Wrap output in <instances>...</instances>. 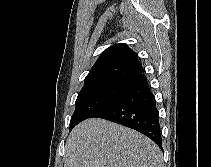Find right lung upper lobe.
I'll return each instance as SVG.
<instances>
[{
	"label": "right lung upper lobe",
	"mask_w": 211,
	"mask_h": 167,
	"mask_svg": "<svg viewBox=\"0 0 211 167\" xmlns=\"http://www.w3.org/2000/svg\"><path fill=\"white\" fill-rule=\"evenodd\" d=\"M144 72L138 55L126 44L113 45L101 53L84 80L89 83L101 79H130Z\"/></svg>",
	"instance_id": "1"
}]
</instances>
